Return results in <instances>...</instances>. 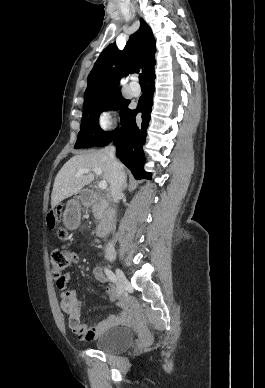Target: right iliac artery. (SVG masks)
<instances>
[{"mask_svg": "<svg viewBox=\"0 0 265 388\" xmlns=\"http://www.w3.org/2000/svg\"><path fill=\"white\" fill-rule=\"evenodd\" d=\"M104 272L111 282H113L114 284L117 283V278H116L115 274L110 269L104 268Z\"/></svg>", "mask_w": 265, "mask_h": 388, "instance_id": "1", "label": "right iliac artery"}]
</instances>
